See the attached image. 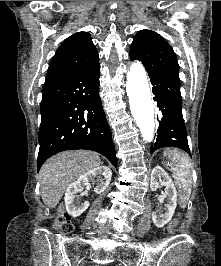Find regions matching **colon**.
<instances>
[{"label":"colon","mask_w":221,"mask_h":266,"mask_svg":"<svg viewBox=\"0 0 221 266\" xmlns=\"http://www.w3.org/2000/svg\"><path fill=\"white\" fill-rule=\"evenodd\" d=\"M179 223V216L174 218L169 224V230L173 231ZM56 228L61 233H70L73 230L71 219L66 214H60L56 219Z\"/></svg>","instance_id":"1"}]
</instances>
